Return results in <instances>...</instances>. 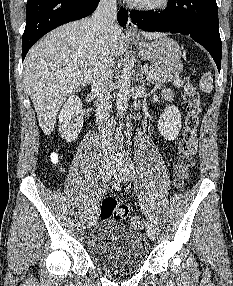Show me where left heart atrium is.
Segmentation results:
<instances>
[{
	"label": "left heart atrium",
	"instance_id": "left-heart-atrium-1",
	"mask_svg": "<svg viewBox=\"0 0 233 286\" xmlns=\"http://www.w3.org/2000/svg\"><path fill=\"white\" fill-rule=\"evenodd\" d=\"M128 1L133 2V3H137V2H139L140 0H128Z\"/></svg>",
	"mask_w": 233,
	"mask_h": 286
}]
</instances>
